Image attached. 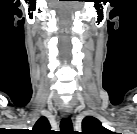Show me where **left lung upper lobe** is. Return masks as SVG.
Here are the masks:
<instances>
[{
  "instance_id": "5c2ea615",
  "label": "left lung upper lobe",
  "mask_w": 137,
  "mask_h": 134,
  "mask_svg": "<svg viewBox=\"0 0 137 134\" xmlns=\"http://www.w3.org/2000/svg\"><path fill=\"white\" fill-rule=\"evenodd\" d=\"M82 134H112L110 130L102 126L101 122L93 117L87 116L82 121Z\"/></svg>"
}]
</instances>
